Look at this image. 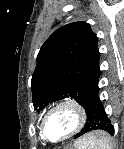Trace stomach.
Returning <instances> with one entry per match:
<instances>
[{
    "mask_svg": "<svg viewBox=\"0 0 124 149\" xmlns=\"http://www.w3.org/2000/svg\"><path fill=\"white\" fill-rule=\"evenodd\" d=\"M99 135H102V133H100V132L90 133L87 136H85L84 141L89 139L90 137H98ZM75 146H76V149H81V148H79L77 143L75 144Z\"/></svg>",
    "mask_w": 124,
    "mask_h": 149,
    "instance_id": "stomach-1",
    "label": "stomach"
}]
</instances>
